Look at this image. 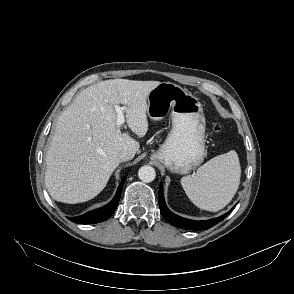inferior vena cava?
<instances>
[{
  "mask_svg": "<svg viewBox=\"0 0 294 294\" xmlns=\"http://www.w3.org/2000/svg\"><path fill=\"white\" fill-rule=\"evenodd\" d=\"M118 158L121 162L123 161H128L131 160L133 158L132 154L129 153L128 151L124 150L122 152L119 153Z\"/></svg>",
  "mask_w": 294,
  "mask_h": 294,
  "instance_id": "obj_1",
  "label": "inferior vena cava"
}]
</instances>
